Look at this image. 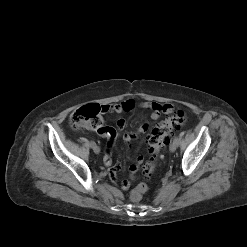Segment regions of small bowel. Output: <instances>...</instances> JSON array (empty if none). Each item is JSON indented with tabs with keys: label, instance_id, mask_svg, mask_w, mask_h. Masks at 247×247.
<instances>
[{
	"label": "small bowel",
	"instance_id": "c3829d8e",
	"mask_svg": "<svg viewBox=\"0 0 247 247\" xmlns=\"http://www.w3.org/2000/svg\"><path fill=\"white\" fill-rule=\"evenodd\" d=\"M104 112H114V113H123L133 110L134 108H141L145 110L151 111V118L153 120H156L160 117L161 114H170L173 112V106L170 104H161L157 102H136L132 99L125 100L118 104H112V105H104ZM125 126V120L120 118L116 121V128L104 126L97 131V133L105 137L109 140V143L107 145V148L105 150L104 156H103V163L105 166L110 167L112 164V146L116 139L118 130L123 129ZM149 129V125L147 123L141 125L136 132L134 133H128L124 135V140L126 142H130L134 138L137 137V135L145 133ZM143 162V157L138 156L134 158L132 164L129 167V171L131 174H134L139 166ZM120 167V165H116L115 167L110 168L109 170V178L113 182L118 181V175H117V169ZM120 186L123 190H127L130 187V181L127 179L120 181Z\"/></svg>",
	"mask_w": 247,
	"mask_h": 247
}]
</instances>
